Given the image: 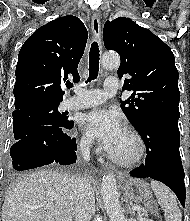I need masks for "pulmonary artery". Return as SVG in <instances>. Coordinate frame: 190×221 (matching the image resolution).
Segmentation results:
<instances>
[{
    "mask_svg": "<svg viewBox=\"0 0 190 221\" xmlns=\"http://www.w3.org/2000/svg\"><path fill=\"white\" fill-rule=\"evenodd\" d=\"M119 88L116 78H107L104 82L103 89L86 90L80 87L75 88L76 96L64 101L63 106L66 110L85 109L99 105L113 96Z\"/></svg>",
    "mask_w": 190,
    "mask_h": 221,
    "instance_id": "1",
    "label": "pulmonary artery"
}]
</instances>
